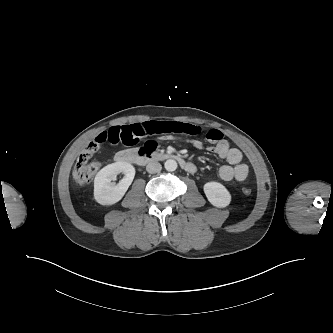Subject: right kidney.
Wrapping results in <instances>:
<instances>
[{"instance_id":"1","label":"right kidney","mask_w":333,"mask_h":333,"mask_svg":"<svg viewBox=\"0 0 333 333\" xmlns=\"http://www.w3.org/2000/svg\"><path fill=\"white\" fill-rule=\"evenodd\" d=\"M124 174L122 180L115 184L116 176ZM135 176V168L127 162H115L102 168L94 180V198L103 206L119 202L131 185Z\"/></svg>"}]
</instances>
